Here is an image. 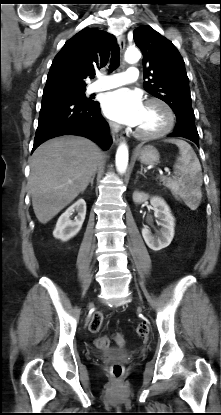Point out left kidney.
Segmentation results:
<instances>
[{
    "instance_id": "5707ae66",
    "label": "left kidney",
    "mask_w": 221,
    "mask_h": 415,
    "mask_svg": "<svg viewBox=\"0 0 221 415\" xmlns=\"http://www.w3.org/2000/svg\"><path fill=\"white\" fill-rule=\"evenodd\" d=\"M149 198V195L143 192L136 191L133 193V201L136 204H141ZM150 203L154 208L155 217L160 220L159 225H161V229L154 236L148 227H144L142 229V236L150 249L159 251L171 243L174 237L175 219L171 214L169 206L161 197H151Z\"/></svg>"
}]
</instances>
